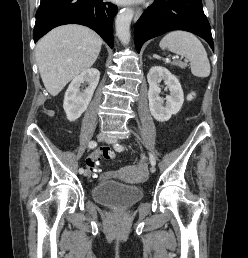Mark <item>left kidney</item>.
<instances>
[{
	"label": "left kidney",
	"instance_id": "5707ae66",
	"mask_svg": "<svg viewBox=\"0 0 248 258\" xmlns=\"http://www.w3.org/2000/svg\"><path fill=\"white\" fill-rule=\"evenodd\" d=\"M147 80L149 83V109L152 116L160 122L168 121L172 115L180 111L184 102V94L179 80L168 69L161 66L152 67L147 74ZM161 80L170 91V95L166 97L165 106H163L164 100L160 97L159 83Z\"/></svg>",
	"mask_w": 248,
	"mask_h": 258
}]
</instances>
